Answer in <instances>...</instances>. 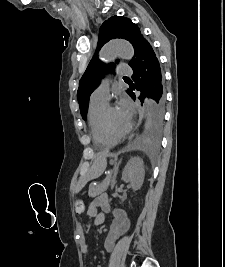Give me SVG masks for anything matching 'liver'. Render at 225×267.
<instances>
[{"label": "liver", "instance_id": "1", "mask_svg": "<svg viewBox=\"0 0 225 267\" xmlns=\"http://www.w3.org/2000/svg\"><path fill=\"white\" fill-rule=\"evenodd\" d=\"M105 158H106L105 153H101V154L97 155V157L95 159V165L92 167V170L89 174V177L94 178V177H97L103 173V171L105 170V167H106V161H104ZM100 163H102V167H100L98 169V164H100Z\"/></svg>", "mask_w": 225, "mask_h": 267}]
</instances>
